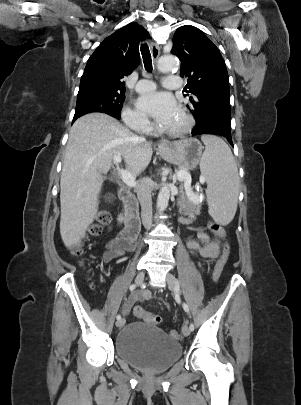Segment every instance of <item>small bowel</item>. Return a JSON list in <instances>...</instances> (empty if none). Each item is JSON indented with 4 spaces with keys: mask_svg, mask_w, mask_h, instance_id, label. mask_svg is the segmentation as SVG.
<instances>
[{
    "mask_svg": "<svg viewBox=\"0 0 301 405\" xmlns=\"http://www.w3.org/2000/svg\"><path fill=\"white\" fill-rule=\"evenodd\" d=\"M185 223H190L191 218H183ZM188 249L197 254L202 259H213L220 255L221 246L217 239H212L206 232L197 229L196 239H188L186 241ZM126 249L122 246L120 240V234L113 240H111L103 254V261L105 263L111 262L113 259L121 256ZM151 294L149 291H141L131 294L124 302L122 306V312L128 314L131 307L137 302L144 299H149Z\"/></svg>",
    "mask_w": 301,
    "mask_h": 405,
    "instance_id": "c3829d8e",
    "label": "small bowel"
}]
</instances>
